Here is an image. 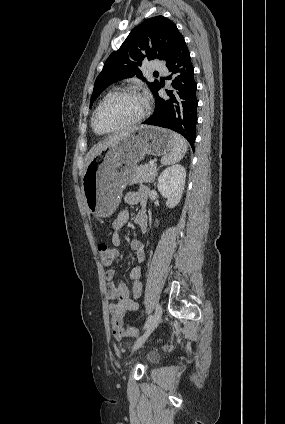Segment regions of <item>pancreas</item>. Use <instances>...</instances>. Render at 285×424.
<instances>
[{
	"mask_svg": "<svg viewBox=\"0 0 285 424\" xmlns=\"http://www.w3.org/2000/svg\"><path fill=\"white\" fill-rule=\"evenodd\" d=\"M157 176L156 164H143L136 168L133 174L130 184L137 183H152Z\"/></svg>",
	"mask_w": 285,
	"mask_h": 424,
	"instance_id": "1",
	"label": "pancreas"
}]
</instances>
